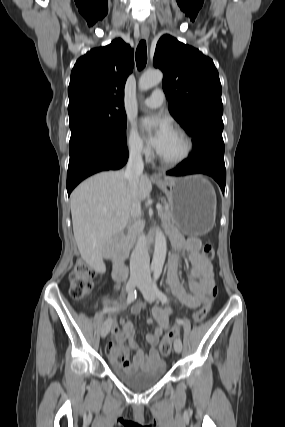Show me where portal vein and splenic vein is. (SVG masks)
Returning a JSON list of instances; mask_svg holds the SVG:
<instances>
[{
    "instance_id": "obj_1",
    "label": "portal vein and splenic vein",
    "mask_w": 285,
    "mask_h": 427,
    "mask_svg": "<svg viewBox=\"0 0 285 427\" xmlns=\"http://www.w3.org/2000/svg\"><path fill=\"white\" fill-rule=\"evenodd\" d=\"M157 210H160L162 208L161 204L156 205ZM142 221H138V224H142Z\"/></svg>"
}]
</instances>
